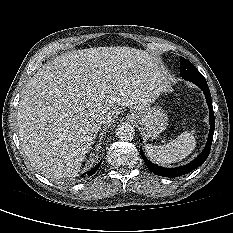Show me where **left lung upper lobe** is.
I'll return each mask as SVG.
<instances>
[{"mask_svg": "<svg viewBox=\"0 0 233 233\" xmlns=\"http://www.w3.org/2000/svg\"><path fill=\"white\" fill-rule=\"evenodd\" d=\"M180 62V76L182 78L191 82L206 81L202 74L197 70V68L194 65L191 64L190 61L181 57Z\"/></svg>", "mask_w": 233, "mask_h": 233, "instance_id": "obj_1", "label": "left lung upper lobe"}]
</instances>
